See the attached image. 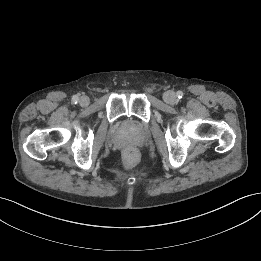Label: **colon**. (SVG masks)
<instances>
[{
  "instance_id": "colon-1",
  "label": "colon",
  "mask_w": 261,
  "mask_h": 261,
  "mask_svg": "<svg viewBox=\"0 0 261 261\" xmlns=\"http://www.w3.org/2000/svg\"><path fill=\"white\" fill-rule=\"evenodd\" d=\"M137 150L134 148H128L124 152V162L127 165L132 164L137 158Z\"/></svg>"
}]
</instances>
